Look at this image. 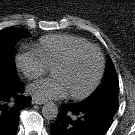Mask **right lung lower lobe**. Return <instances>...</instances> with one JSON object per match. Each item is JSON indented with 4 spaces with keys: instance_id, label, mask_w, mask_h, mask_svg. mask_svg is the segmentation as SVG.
<instances>
[{
    "instance_id": "1",
    "label": "right lung lower lobe",
    "mask_w": 135,
    "mask_h": 135,
    "mask_svg": "<svg viewBox=\"0 0 135 135\" xmlns=\"http://www.w3.org/2000/svg\"><path fill=\"white\" fill-rule=\"evenodd\" d=\"M23 84L19 80L0 84V135H15L19 113L31 105V97H25Z\"/></svg>"
}]
</instances>
